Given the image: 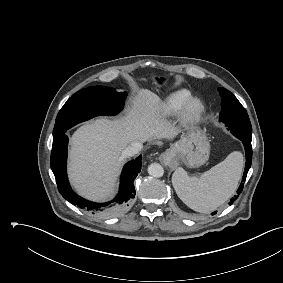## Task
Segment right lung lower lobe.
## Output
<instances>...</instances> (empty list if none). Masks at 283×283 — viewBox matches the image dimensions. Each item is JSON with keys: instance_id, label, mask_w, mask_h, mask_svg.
Returning <instances> with one entry per match:
<instances>
[{"instance_id": "1", "label": "right lung lower lobe", "mask_w": 283, "mask_h": 283, "mask_svg": "<svg viewBox=\"0 0 283 283\" xmlns=\"http://www.w3.org/2000/svg\"><path fill=\"white\" fill-rule=\"evenodd\" d=\"M67 144L68 137L66 134L53 139L50 163L60 194L70 203L93 214L112 215L119 212L125 206H128V203L135 196L133 182L141 170V156L124 166L121 174L119 193L115 199L107 203H94L81 198L70 187L66 173Z\"/></svg>"}]
</instances>
